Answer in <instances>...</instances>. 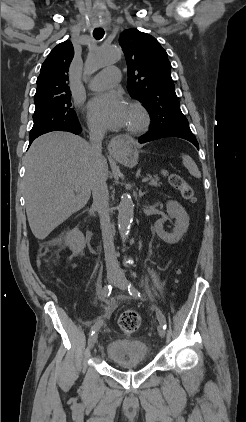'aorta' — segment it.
Returning <instances> with one entry per match:
<instances>
[{"label": "aorta", "mask_w": 246, "mask_h": 422, "mask_svg": "<svg viewBox=\"0 0 246 422\" xmlns=\"http://www.w3.org/2000/svg\"><path fill=\"white\" fill-rule=\"evenodd\" d=\"M121 57L120 49L116 47H98L93 49L87 58L85 77L93 74L106 64L116 63ZM118 230L123 242L128 238L134 216V203L128 194L121 197L118 208Z\"/></svg>", "instance_id": "obj_1"}]
</instances>
